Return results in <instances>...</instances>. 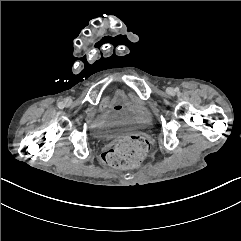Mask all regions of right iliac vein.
I'll return each mask as SVG.
<instances>
[{
  "mask_svg": "<svg viewBox=\"0 0 241 241\" xmlns=\"http://www.w3.org/2000/svg\"><path fill=\"white\" fill-rule=\"evenodd\" d=\"M71 103V99H69V98H67L66 100H65V105H69Z\"/></svg>",
  "mask_w": 241,
  "mask_h": 241,
  "instance_id": "63e3f726",
  "label": "right iliac vein"
}]
</instances>
